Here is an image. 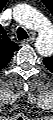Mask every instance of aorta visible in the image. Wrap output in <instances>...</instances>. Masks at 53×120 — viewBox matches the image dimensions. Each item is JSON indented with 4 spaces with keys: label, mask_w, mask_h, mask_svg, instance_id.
I'll use <instances>...</instances> for the list:
<instances>
[{
    "label": "aorta",
    "mask_w": 53,
    "mask_h": 120,
    "mask_svg": "<svg viewBox=\"0 0 53 120\" xmlns=\"http://www.w3.org/2000/svg\"><path fill=\"white\" fill-rule=\"evenodd\" d=\"M16 14L24 25L39 32L36 48L38 52L45 53L46 47H50L52 44L50 22L31 7H18L16 9Z\"/></svg>",
    "instance_id": "aorta-1"
}]
</instances>
